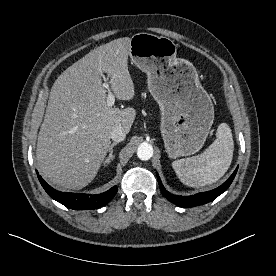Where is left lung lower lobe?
<instances>
[{
    "label": "left lung lower lobe",
    "mask_w": 276,
    "mask_h": 276,
    "mask_svg": "<svg viewBox=\"0 0 276 276\" xmlns=\"http://www.w3.org/2000/svg\"><path fill=\"white\" fill-rule=\"evenodd\" d=\"M237 170H238V167L233 172V174L228 178V180L225 183H223L221 186H219L218 188L208 191V192L199 193V194H196L193 196H188V197L173 195V194L169 193L168 191H166L164 186L162 185V182H161L158 174H156V175H157L161 193L170 202L174 203L175 205H178V206L184 207V208H189V207H195V206H199V205H203L208 202H211L215 198H217L219 195H221L223 192H225L228 189V187L231 185V183L237 173Z\"/></svg>",
    "instance_id": "1"
}]
</instances>
